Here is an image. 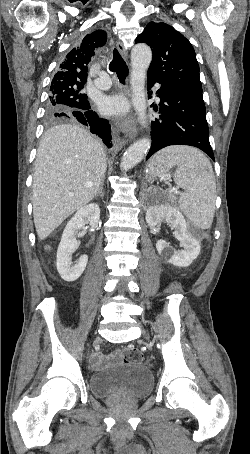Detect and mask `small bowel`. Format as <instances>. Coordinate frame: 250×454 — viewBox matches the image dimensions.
Listing matches in <instances>:
<instances>
[{
	"label": "small bowel",
	"instance_id": "1",
	"mask_svg": "<svg viewBox=\"0 0 250 454\" xmlns=\"http://www.w3.org/2000/svg\"><path fill=\"white\" fill-rule=\"evenodd\" d=\"M91 362L94 367L98 368L105 364L106 358L101 353L96 352L91 356Z\"/></svg>",
	"mask_w": 250,
	"mask_h": 454
}]
</instances>
